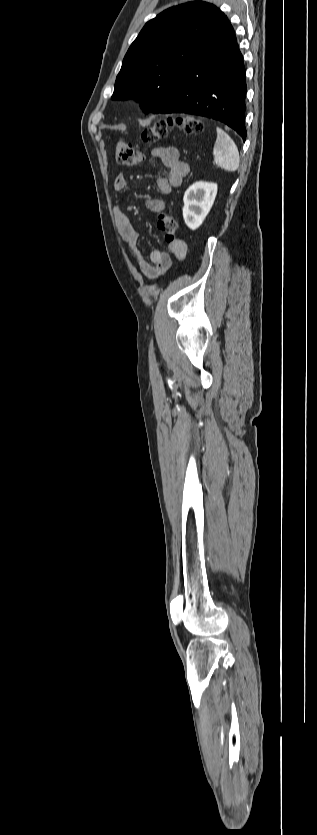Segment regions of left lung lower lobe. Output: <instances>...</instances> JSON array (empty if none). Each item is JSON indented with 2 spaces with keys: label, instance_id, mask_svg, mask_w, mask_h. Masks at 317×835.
<instances>
[{
  "label": "left lung lower lobe",
  "instance_id": "1",
  "mask_svg": "<svg viewBox=\"0 0 317 835\" xmlns=\"http://www.w3.org/2000/svg\"><path fill=\"white\" fill-rule=\"evenodd\" d=\"M243 56L233 27L224 16L210 39L185 69L175 99L154 113H188L221 121L245 141Z\"/></svg>",
  "mask_w": 317,
  "mask_h": 835
}]
</instances>
